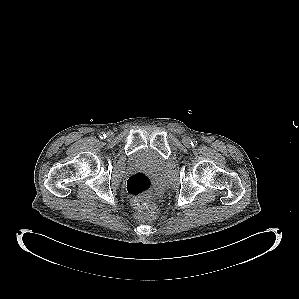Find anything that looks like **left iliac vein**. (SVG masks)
Here are the masks:
<instances>
[{
  "mask_svg": "<svg viewBox=\"0 0 299 299\" xmlns=\"http://www.w3.org/2000/svg\"><path fill=\"white\" fill-rule=\"evenodd\" d=\"M182 142L185 146H190L191 145V139L189 137H184L182 139Z\"/></svg>",
  "mask_w": 299,
  "mask_h": 299,
  "instance_id": "4c4485c4",
  "label": "left iliac vein"
}]
</instances>
